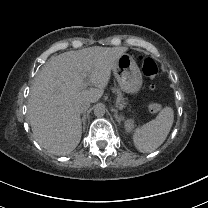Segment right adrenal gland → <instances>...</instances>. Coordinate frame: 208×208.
Wrapping results in <instances>:
<instances>
[{
  "label": "right adrenal gland",
  "mask_w": 208,
  "mask_h": 208,
  "mask_svg": "<svg viewBox=\"0 0 208 208\" xmlns=\"http://www.w3.org/2000/svg\"><path fill=\"white\" fill-rule=\"evenodd\" d=\"M82 120H83V124H84V126H85V124H86V123H85V113H84V115H83V119H82Z\"/></svg>",
  "instance_id": "obj_1"
}]
</instances>
